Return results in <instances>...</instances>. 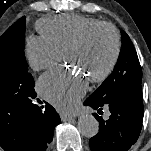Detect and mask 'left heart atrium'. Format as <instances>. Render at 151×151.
Segmentation results:
<instances>
[{"label": "left heart atrium", "mask_w": 151, "mask_h": 151, "mask_svg": "<svg viewBox=\"0 0 151 151\" xmlns=\"http://www.w3.org/2000/svg\"><path fill=\"white\" fill-rule=\"evenodd\" d=\"M38 86L52 105L69 111L87 91L88 80L77 71L55 68L40 77Z\"/></svg>", "instance_id": "obj_1"}]
</instances>
